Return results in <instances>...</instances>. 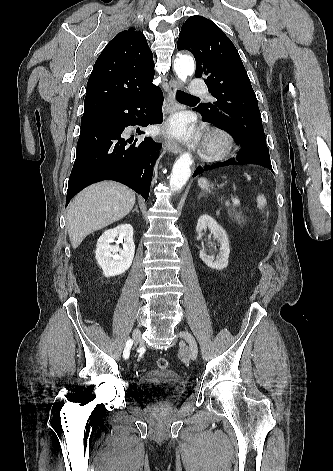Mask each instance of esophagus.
<instances>
[{"instance_id": "1", "label": "esophagus", "mask_w": 333, "mask_h": 471, "mask_svg": "<svg viewBox=\"0 0 333 471\" xmlns=\"http://www.w3.org/2000/svg\"><path fill=\"white\" fill-rule=\"evenodd\" d=\"M182 88L181 83L176 80V79H171L170 80V91L168 95V110L169 113H173L178 107V103L175 100V95L177 90H180ZM164 147L173 154H178L182 151L181 145L174 139L170 138L169 136L165 137L164 140Z\"/></svg>"}]
</instances>
